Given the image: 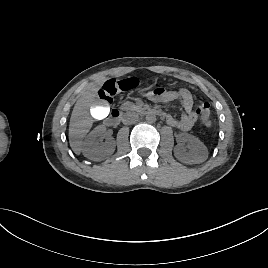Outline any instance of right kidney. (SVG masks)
<instances>
[{"label":"right kidney","instance_id":"obj_1","mask_svg":"<svg viewBox=\"0 0 268 268\" xmlns=\"http://www.w3.org/2000/svg\"><path fill=\"white\" fill-rule=\"evenodd\" d=\"M105 131L104 126H97L85 138L82 153L86 158L101 161L114 152L116 144L112 137H107L104 143H99L100 139L104 137Z\"/></svg>","mask_w":268,"mask_h":268}]
</instances>
